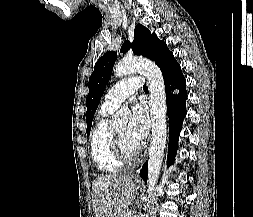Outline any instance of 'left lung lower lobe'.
<instances>
[{
	"label": "left lung lower lobe",
	"instance_id": "0a47b994",
	"mask_svg": "<svg viewBox=\"0 0 253 217\" xmlns=\"http://www.w3.org/2000/svg\"><path fill=\"white\" fill-rule=\"evenodd\" d=\"M165 83L167 112L169 117V149H168V166L174 161L177 150V142L182 126L183 119L186 115V80L182 74L180 65L174 57L170 58L160 67ZM179 90V93L176 91ZM148 162L144 163L141 170V178L147 182Z\"/></svg>",
	"mask_w": 253,
	"mask_h": 217
}]
</instances>
